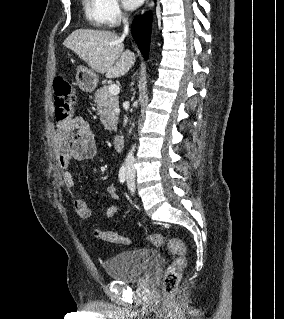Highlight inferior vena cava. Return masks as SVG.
Instances as JSON below:
<instances>
[{
	"instance_id": "602c4592",
	"label": "inferior vena cava",
	"mask_w": 284,
	"mask_h": 319,
	"mask_svg": "<svg viewBox=\"0 0 284 319\" xmlns=\"http://www.w3.org/2000/svg\"><path fill=\"white\" fill-rule=\"evenodd\" d=\"M123 22H124V33H123V38L128 34L129 32V25H128V21H127V18H124L123 19ZM125 165H126V168L128 170H133L134 169V156H133V151H130L126 157V160H125Z\"/></svg>"
}]
</instances>
